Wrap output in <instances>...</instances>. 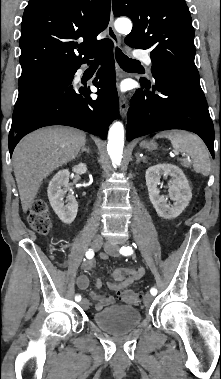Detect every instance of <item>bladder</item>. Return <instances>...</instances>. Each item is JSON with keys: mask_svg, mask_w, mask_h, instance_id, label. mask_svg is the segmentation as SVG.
Wrapping results in <instances>:
<instances>
[{"mask_svg": "<svg viewBox=\"0 0 221 379\" xmlns=\"http://www.w3.org/2000/svg\"><path fill=\"white\" fill-rule=\"evenodd\" d=\"M92 320L102 331L113 336H122L139 326L142 315L135 307L112 305L94 313Z\"/></svg>", "mask_w": 221, "mask_h": 379, "instance_id": "31cf9c89", "label": "bladder"}]
</instances>
